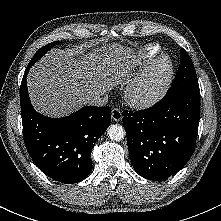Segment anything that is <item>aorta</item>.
Returning a JSON list of instances; mask_svg holds the SVG:
<instances>
[{"label": "aorta", "instance_id": "aorta-1", "mask_svg": "<svg viewBox=\"0 0 221 221\" xmlns=\"http://www.w3.org/2000/svg\"><path fill=\"white\" fill-rule=\"evenodd\" d=\"M108 137L113 141H121L125 137V130L119 124H112L107 130Z\"/></svg>", "mask_w": 221, "mask_h": 221}]
</instances>
